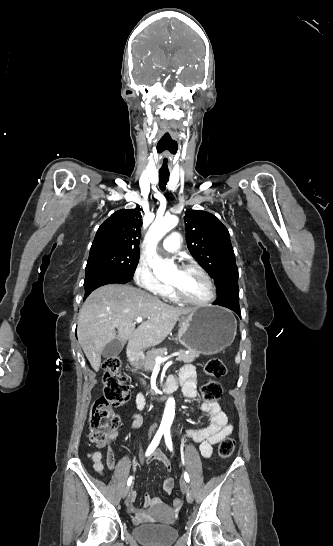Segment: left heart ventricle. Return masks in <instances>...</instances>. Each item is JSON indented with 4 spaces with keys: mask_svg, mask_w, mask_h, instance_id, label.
<instances>
[{
    "mask_svg": "<svg viewBox=\"0 0 333 546\" xmlns=\"http://www.w3.org/2000/svg\"><path fill=\"white\" fill-rule=\"evenodd\" d=\"M181 293L192 300H204L210 295V289L203 276L195 270L176 271L171 280Z\"/></svg>",
    "mask_w": 333,
    "mask_h": 546,
    "instance_id": "obj_1",
    "label": "left heart ventricle"
}]
</instances>
